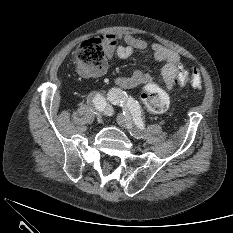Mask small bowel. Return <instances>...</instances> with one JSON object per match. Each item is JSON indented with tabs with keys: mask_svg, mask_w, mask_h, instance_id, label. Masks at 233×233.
I'll return each instance as SVG.
<instances>
[{
	"mask_svg": "<svg viewBox=\"0 0 233 233\" xmlns=\"http://www.w3.org/2000/svg\"><path fill=\"white\" fill-rule=\"evenodd\" d=\"M148 49L149 46L144 40L132 35L114 34L105 38V53L108 59H111L114 55L126 59L134 52L144 53ZM150 49L153 52L155 61L162 64V77L167 89L171 91L176 83L178 71L182 68L180 66V57L175 51L159 43L152 44ZM104 70L105 67L98 74L103 73ZM148 80L149 76L147 74L137 70L129 77L118 78L117 84L125 88H131Z\"/></svg>",
	"mask_w": 233,
	"mask_h": 233,
	"instance_id": "small-bowel-1",
	"label": "small bowel"
}]
</instances>
